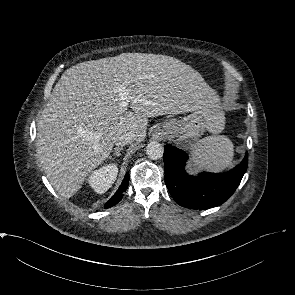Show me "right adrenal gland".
<instances>
[{
	"label": "right adrenal gland",
	"mask_w": 295,
	"mask_h": 295,
	"mask_svg": "<svg viewBox=\"0 0 295 295\" xmlns=\"http://www.w3.org/2000/svg\"><path fill=\"white\" fill-rule=\"evenodd\" d=\"M121 150H123V147H122V146H121V147H116V148H114V153H113V155H114L115 157H119V156H120V151H121ZM108 158L111 159V155H109Z\"/></svg>",
	"instance_id": "2a0ac1e0"
}]
</instances>
